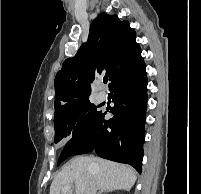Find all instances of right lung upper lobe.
Segmentation results:
<instances>
[{"label":"right lung upper lobe","mask_w":201,"mask_h":194,"mask_svg":"<svg viewBox=\"0 0 201 194\" xmlns=\"http://www.w3.org/2000/svg\"><path fill=\"white\" fill-rule=\"evenodd\" d=\"M141 58L136 33L129 22L120 21L117 15L101 13L90 26L87 44H82L74 57L64 61L55 77L54 119L70 114L89 100L90 83L96 74L105 72L111 85Z\"/></svg>","instance_id":"1"}]
</instances>
